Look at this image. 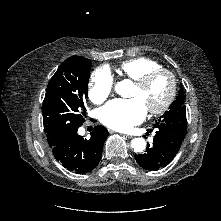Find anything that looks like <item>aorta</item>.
<instances>
[{
	"label": "aorta",
	"mask_w": 221,
	"mask_h": 221,
	"mask_svg": "<svg viewBox=\"0 0 221 221\" xmlns=\"http://www.w3.org/2000/svg\"><path fill=\"white\" fill-rule=\"evenodd\" d=\"M126 87L125 82H119L115 86V90L119 95H123L124 89ZM131 147L135 152H142L146 148V142L143 138H134L131 142Z\"/></svg>",
	"instance_id": "aorta-1"
}]
</instances>
